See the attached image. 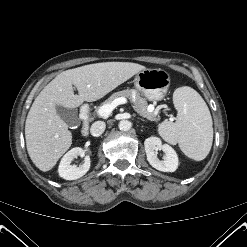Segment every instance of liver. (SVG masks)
I'll return each mask as SVG.
<instances>
[{"label": "liver", "mask_w": 247, "mask_h": 247, "mask_svg": "<svg viewBox=\"0 0 247 247\" xmlns=\"http://www.w3.org/2000/svg\"><path fill=\"white\" fill-rule=\"evenodd\" d=\"M144 69L136 63L103 62L57 75L36 97L26 118V147L35 166L43 172L51 170L72 144V133L57 114V105L74 109L84 101L101 99Z\"/></svg>", "instance_id": "1"}]
</instances>
